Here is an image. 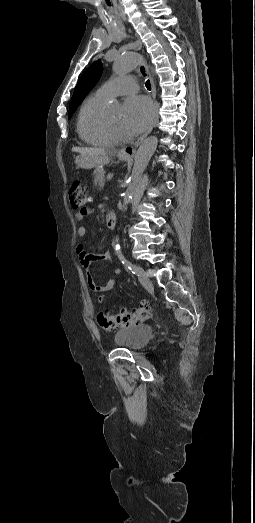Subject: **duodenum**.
I'll use <instances>...</instances> for the list:
<instances>
[{"label": "duodenum", "instance_id": "410a0bca", "mask_svg": "<svg viewBox=\"0 0 255 523\" xmlns=\"http://www.w3.org/2000/svg\"><path fill=\"white\" fill-rule=\"evenodd\" d=\"M105 223L108 228L113 229L116 224V214L114 212H110L106 215Z\"/></svg>", "mask_w": 255, "mask_h": 523}]
</instances>
